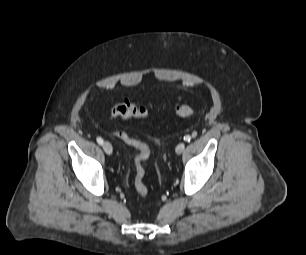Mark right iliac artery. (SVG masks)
<instances>
[{
    "label": "right iliac artery",
    "mask_w": 306,
    "mask_h": 255,
    "mask_svg": "<svg viewBox=\"0 0 306 255\" xmlns=\"http://www.w3.org/2000/svg\"><path fill=\"white\" fill-rule=\"evenodd\" d=\"M97 142H98V144L103 145L104 141L101 137H97Z\"/></svg>",
    "instance_id": "right-iliac-artery-1"
}]
</instances>
